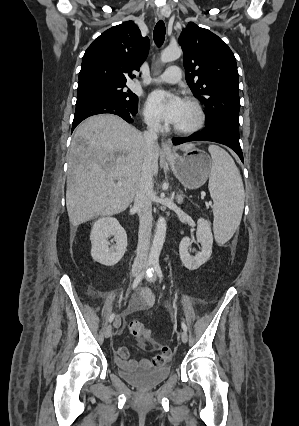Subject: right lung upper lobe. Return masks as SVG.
<instances>
[{"label": "right lung upper lobe", "instance_id": "1", "mask_svg": "<svg viewBox=\"0 0 299 426\" xmlns=\"http://www.w3.org/2000/svg\"><path fill=\"white\" fill-rule=\"evenodd\" d=\"M149 49L148 37H142L133 21L103 32L87 48L79 73L78 86L92 83L126 84L139 70Z\"/></svg>", "mask_w": 299, "mask_h": 426}]
</instances>
